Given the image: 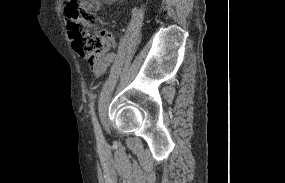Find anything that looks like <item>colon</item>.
<instances>
[{
    "label": "colon",
    "mask_w": 285,
    "mask_h": 183,
    "mask_svg": "<svg viewBox=\"0 0 285 183\" xmlns=\"http://www.w3.org/2000/svg\"><path fill=\"white\" fill-rule=\"evenodd\" d=\"M81 0H71L65 8L67 32L74 50L90 62L111 54L114 48L112 34L96 27V18L80 8Z\"/></svg>",
    "instance_id": "obj_1"
}]
</instances>
